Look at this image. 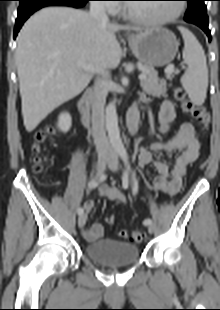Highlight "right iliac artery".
<instances>
[{"label":"right iliac artery","instance_id":"1","mask_svg":"<svg viewBox=\"0 0 220 310\" xmlns=\"http://www.w3.org/2000/svg\"><path fill=\"white\" fill-rule=\"evenodd\" d=\"M104 178H105V176L103 175V176L101 177V179H104ZM98 184H99V181H97L96 179H92V180H90V181L88 182V187H89L90 189H92V188L97 187ZM77 212H78L79 215H81V214H83L84 210H83V208L80 207V208H78Z\"/></svg>","mask_w":220,"mask_h":310}]
</instances>
